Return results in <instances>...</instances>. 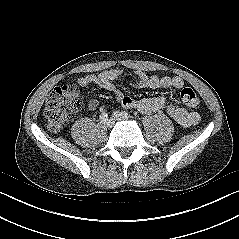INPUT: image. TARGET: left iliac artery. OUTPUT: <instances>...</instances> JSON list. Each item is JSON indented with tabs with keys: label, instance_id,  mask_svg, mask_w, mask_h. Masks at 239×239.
Masks as SVG:
<instances>
[{
	"label": "left iliac artery",
	"instance_id": "1",
	"mask_svg": "<svg viewBox=\"0 0 239 239\" xmlns=\"http://www.w3.org/2000/svg\"><path fill=\"white\" fill-rule=\"evenodd\" d=\"M123 115L128 118L130 117V115L126 111L123 112Z\"/></svg>",
	"mask_w": 239,
	"mask_h": 239
}]
</instances>
